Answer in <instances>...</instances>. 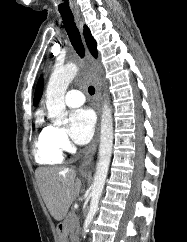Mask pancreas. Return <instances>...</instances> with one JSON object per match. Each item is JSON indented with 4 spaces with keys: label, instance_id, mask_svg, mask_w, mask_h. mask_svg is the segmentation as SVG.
<instances>
[{
    "label": "pancreas",
    "instance_id": "pancreas-1",
    "mask_svg": "<svg viewBox=\"0 0 187 242\" xmlns=\"http://www.w3.org/2000/svg\"><path fill=\"white\" fill-rule=\"evenodd\" d=\"M64 225L67 228L68 233L77 236L79 233V218L75 214V211H71L66 219L64 220Z\"/></svg>",
    "mask_w": 187,
    "mask_h": 242
}]
</instances>
